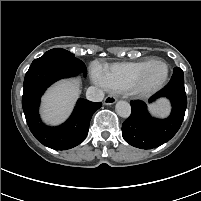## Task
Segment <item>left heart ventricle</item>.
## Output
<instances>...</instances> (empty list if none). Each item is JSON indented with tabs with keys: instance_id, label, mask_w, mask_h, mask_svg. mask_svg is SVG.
<instances>
[{
	"instance_id": "left-heart-ventricle-1",
	"label": "left heart ventricle",
	"mask_w": 201,
	"mask_h": 201,
	"mask_svg": "<svg viewBox=\"0 0 201 201\" xmlns=\"http://www.w3.org/2000/svg\"><path fill=\"white\" fill-rule=\"evenodd\" d=\"M165 68L163 65H155L149 72L146 82L148 85L157 84L164 76Z\"/></svg>"
}]
</instances>
